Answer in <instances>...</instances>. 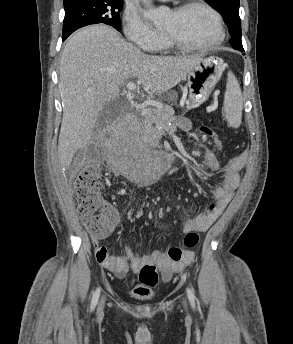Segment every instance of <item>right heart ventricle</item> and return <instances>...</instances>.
Here are the masks:
<instances>
[{
  "instance_id": "e07e8e85",
  "label": "right heart ventricle",
  "mask_w": 293,
  "mask_h": 344,
  "mask_svg": "<svg viewBox=\"0 0 293 344\" xmlns=\"http://www.w3.org/2000/svg\"><path fill=\"white\" fill-rule=\"evenodd\" d=\"M173 50H174L173 46H171L168 43V41L166 40V38L163 37L160 44L154 50H152V52L157 53V54H161V55H166V54L172 53Z\"/></svg>"
}]
</instances>
